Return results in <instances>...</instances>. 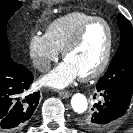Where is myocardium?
Here are the masks:
<instances>
[{"label": "myocardium", "mask_w": 133, "mask_h": 133, "mask_svg": "<svg viewBox=\"0 0 133 133\" xmlns=\"http://www.w3.org/2000/svg\"><path fill=\"white\" fill-rule=\"evenodd\" d=\"M101 22L103 23L108 32V40H107V47L105 50V54L103 59L101 60L100 64L94 69L92 72L79 76L81 81H90L97 77H99L107 68L113 49V42H114V32L111 24L102 17H92L91 19L87 20L83 25L78 29L75 35L70 39V41L64 46L62 49V58L65 60L68 53H70L73 49H75L79 43L81 42L86 30L94 23Z\"/></svg>", "instance_id": "f54148a6"}]
</instances>
